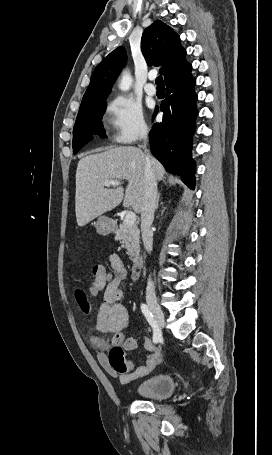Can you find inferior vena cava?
Masks as SVG:
<instances>
[{
    "mask_svg": "<svg viewBox=\"0 0 272 455\" xmlns=\"http://www.w3.org/2000/svg\"><path fill=\"white\" fill-rule=\"evenodd\" d=\"M147 131H144L142 138L147 139ZM157 201V179L152 167L150 156L146 155V164L144 169V196L141 208V232L144 248L151 253L153 248V233L151 225L154 219V211ZM148 297H155V287L151 278H149L146 288Z\"/></svg>",
    "mask_w": 272,
    "mask_h": 455,
    "instance_id": "inferior-vena-cava-1",
    "label": "inferior vena cava"
}]
</instances>
